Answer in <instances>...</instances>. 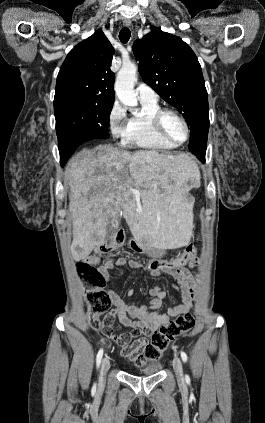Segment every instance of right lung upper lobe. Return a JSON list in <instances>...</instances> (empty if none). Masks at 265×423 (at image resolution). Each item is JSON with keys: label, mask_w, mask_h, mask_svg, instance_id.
<instances>
[{"label": "right lung upper lobe", "mask_w": 265, "mask_h": 423, "mask_svg": "<svg viewBox=\"0 0 265 423\" xmlns=\"http://www.w3.org/2000/svg\"><path fill=\"white\" fill-rule=\"evenodd\" d=\"M113 54L114 48L100 29L76 45L60 68L54 100L79 98L113 105Z\"/></svg>", "instance_id": "right-lung-upper-lobe-1"}]
</instances>
